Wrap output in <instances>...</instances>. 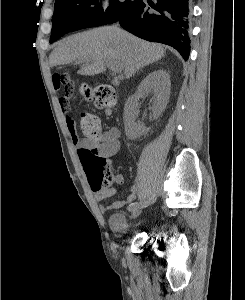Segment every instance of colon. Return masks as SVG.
I'll return each mask as SVG.
<instances>
[{"instance_id":"1","label":"colon","mask_w":245,"mask_h":300,"mask_svg":"<svg viewBox=\"0 0 245 300\" xmlns=\"http://www.w3.org/2000/svg\"><path fill=\"white\" fill-rule=\"evenodd\" d=\"M52 82L55 89L64 88L66 94L74 91V81L68 73L54 74ZM80 93L85 99L106 111H110L116 101L114 89L109 85H100L92 89L88 84H82ZM79 122L84 139L92 144L90 148L80 149L79 157L92 189L100 191L114 179L108 170V160L99 156L97 152L101 137L99 118L90 112H82L79 115Z\"/></svg>"}]
</instances>
